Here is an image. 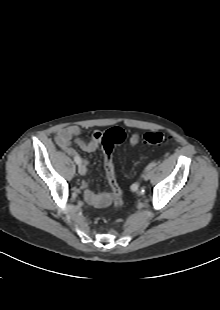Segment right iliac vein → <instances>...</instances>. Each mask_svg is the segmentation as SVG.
Listing matches in <instances>:
<instances>
[{"instance_id": "right-iliac-vein-1", "label": "right iliac vein", "mask_w": 220, "mask_h": 310, "mask_svg": "<svg viewBox=\"0 0 220 310\" xmlns=\"http://www.w3.org/2000/svg\"><path fill=\"white\" fill-rule=\"evenodd\" d=\"M78 172L80 175L84 176L87 172L86 167L83 164L78 166Z\"/></svg>"}]
</instances>
